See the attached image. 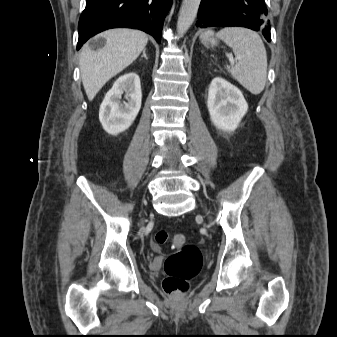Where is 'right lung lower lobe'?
I'll list each match as a JSON object with an SVG mask.
<instances>
[{
    "label": "right lung lower lobe",
    "mask_w": 337,
    "mask_h": 337,
    "mask_svg": "<svg viewBox=\"0 0 337 337\" xmlns=\"http://www.w3.org/2000/svg\"><path fill=\"white\" fill-rule=\"evenodd\" d=\"M172 0H86L79 20L77 50L92 36L116 27L143 30L158 43Z\"/></svg>",
    "instance_id": "right-lung-lower-lobe-1"
}]
</instances>
